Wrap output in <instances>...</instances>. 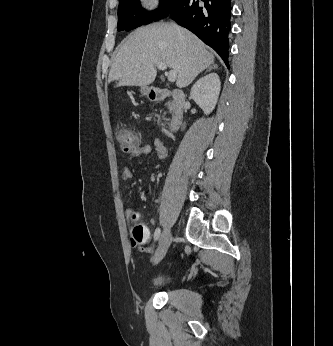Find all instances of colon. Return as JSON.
<instances>
[{
	"instance_id": "5ec220e1",
	"label": "colon",
	"mask_w": 333,
	"mask_h": 346,
	"mask_svg": "<svg viewBox=\"0 0 333 346\" xmlns=\"http://www.w3.org/2000/svg\"><path fill=\"white\" fill-rule=\"evenodd\" d=\"M117 142L124 152H132L138 146H140L139 135L132 129L123 127L118 129L116 134ZM133 221H136L137 214H132ZM152 226H143L142 224L135 223L132 227V235H137L139 237L140 243H144L147 238L151 237ZM153 239L152 237L150 238Z\"/></svg>"
}]
</instances>
